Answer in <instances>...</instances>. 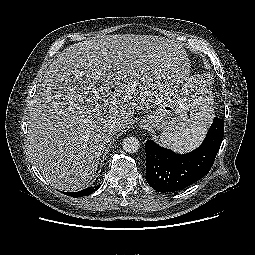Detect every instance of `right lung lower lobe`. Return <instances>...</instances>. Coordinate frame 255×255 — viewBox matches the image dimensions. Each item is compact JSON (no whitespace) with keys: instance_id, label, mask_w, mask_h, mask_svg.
Here are the masks:
<instances>
[{"instance_id":"98d812e1","label":"right lung lower lobe","mask_w":255,"mask_h":255,"mask_svg":"<svg viewBox=\"0 0 255 255\" xmlns=\"http://www.w3.org/2000/svg\"><path fill=\"white\" fill-rule=\"evenodd\" d=\"M100 186H101V184L98 185V186H94V187H92V186L88 187V188H86L84 190H81V191H78V192H71V193L65 192V193L69 196H72V197H82V196H86V195H89V194L93 193Z\"/></svg>"}]
</instances>
